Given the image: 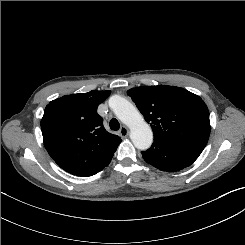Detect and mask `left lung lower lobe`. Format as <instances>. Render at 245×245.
I'll use <instances>...</instances> for the list:
<instances>
[{
  "mask_svg": "<svg viewBox=\"0 0 245 245\" xmlns=\"http://www.w3.org/2000/svg\"><path fill=\"white\" fill-rule=\"evenodd\" d=\"M201 152L154 139L152 146L142 152L144 160L161 171L176 172L190 166Z\"/></svg>",
  "mask_w": 245,
  "mask_h": 245,
  "instance_id": "left-lung-lower-lobe-1",
  "label": "left lung lower lobe"
}]
</instances>
